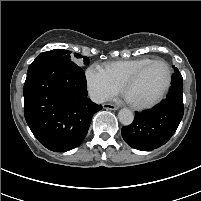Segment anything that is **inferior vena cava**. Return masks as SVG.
Segmentation results:
<instances>
[{
	"mask_svg": "<svg viewBox=\"0 0 201 201\" xmlns=\"http://www.w3.org/2000/svg\"><path fill=\"white\" fill-rule=\"evenodd\" d=\"M90 99L94 103L101 104V103L106 102L108 100V97H107V95H105L103 93L91 92L90 93Z\"/></svg>",
	"mask_w": 201,
	"mask_h": 201,
	"instance_id": "1",
	"label": "inferior vena cava"
}]
</instances>
